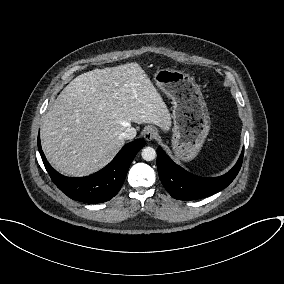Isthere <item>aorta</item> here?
I'll list each match as a JSON object with an SVG mask.
<instances>
[{
	"label": "aorta",
	"instance_id": "obj_1",
	"mask_svg": "<svg viewBox=\"0 0 284 284\" xmlns=\"http://www.w3.org/2000/svg\"><path fill=\"white\" fill-rule=\"evenodd\" d=\"M141 155H142V158H143L144 160H146V161H152V160H154L155 157H156V151H155V149L152 148V147H144V148L142 149Z\"/></svg>",
	"mask_w": 284,
	"mask_h": 284
}]
</instances>
